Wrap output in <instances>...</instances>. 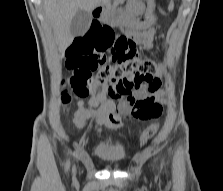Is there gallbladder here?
Masks as SVG:
<instances>
[{
	"instance_id": "1",
	"label": "gallbladder",
	"mask_w": 223,
	"mask_h": 191,
	"mask_svg": "<svg viewBox=\"0 0 223 191\" xmlns=\"http://www.w3.org/2000/svg\"><path fill=\"white\" fill-rule=\"evenodd\" d=\"M91 20V15L88 12L84 10H78L70 25L71 35L74 37L84 35L89 29Z\"/></svg>"
}]
</instances>
